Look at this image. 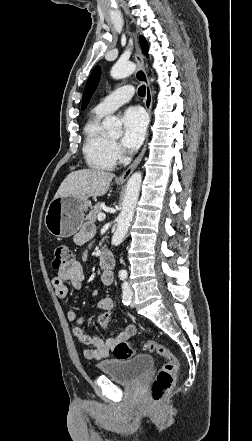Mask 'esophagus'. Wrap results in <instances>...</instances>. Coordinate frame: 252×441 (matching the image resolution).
Listing matches in <instances>:
<instances>
[{
	"instance_id": "1",
	"label": "esophagus",
	"mask_w": 252,
	"mask_h": 441,
	"mask_svg": "<svg viewBox=\"0 0 252 441\" xmlns=\"http://www.w3.org/2000/svg\"><path fill=\"white\" fill-rule=\"evenodd\" d=\"M135 59L137 62V70L135 73V77L138 81H140L141 83H143L145 85L146 93H145L144 103H145V107H146L148 113L151 115L152 101H153L152 100V92H151L148 76H147V73L145 70L143 56H142L139 48L136 49ZM146 147H147V141H146L143 149L139 153V155L133 161V163L117 178L118 182H125L130 177L132 172L135 170V168L138 166L141 159L143 158L145 151H146Z\"/></svg>"
}]
</instances>
